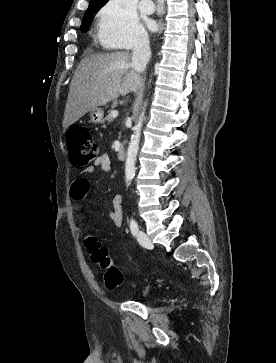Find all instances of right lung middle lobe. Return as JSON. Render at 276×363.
Masks as SVG:
<instances>
[{
  "instance_id": "right-lung-middle-lobe-1",
  "label": "right lung middle lobe",
  "mask_w": 276,
  "mask_h": 363,
  "mask_svg": "<svg viewBox=\"0 0 276 363\" xmlns=\"http://www.w3.org/2000/svg\"><path fill=\"white\" fill-rule=\"evenodd\" d=\"M100 7H101V5H99V4H93L88 7V9L86 10V12L84 14L82 24L80 26V30L82 32L88 31L89 26L94 18V15L99 11Z\"/></svg>"
}]
</instances>
